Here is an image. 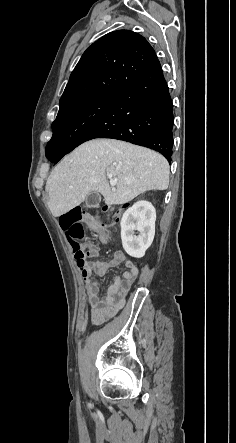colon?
I'll return each mask as SVG.
<instances>
[{
	"instance_id": "5ec220e1",
	"label": "colon",
	"mask_w": 236,
	"mask_h": 443,
	"mask_svg": "<svg viewBox=\"0 0 236 443\" xmlns=\"http://www.w3.org/2000/svg\"><path fill=\"white\" fill-rule=\"evenodd\" d=\"M104 213V226H111L118 220L119 213L117 211L103 210ZM59 222L62 229L66 232L69 242L73 249L75 260L83 264L90 257L94 256L90 248L86 250L84 243L87 239L86 227L83 224L82 212L78 209H71L59 217ZM93 227V226H92Z\"/></svg>"
}]
</instances>
